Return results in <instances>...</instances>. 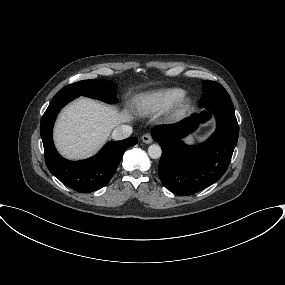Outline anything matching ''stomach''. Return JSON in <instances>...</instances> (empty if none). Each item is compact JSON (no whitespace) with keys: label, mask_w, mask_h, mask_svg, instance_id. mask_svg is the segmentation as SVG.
Here are the masks:
<instances>
[{"label":"stomach","mask_w":285,"mask_h":285,"mask_svg":"<svg viewBox=\"0 0 285 285\" xmlns=\"http://www.w3.org/2000/svg\"><path fill=\"white\" fill-rule=\"evenodd\" d=\"M193 140H194L193 136H188V137L186 138V141H187L188 143H192Z\"/></svg>","instance_id":"1"}]
</instances>
